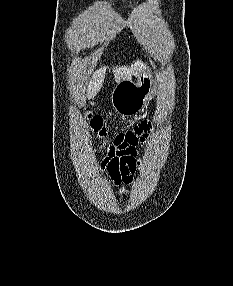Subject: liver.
<instances>
[{
	"label": "liver",
	"instance_id": "1",
	"mask_svg": "<svg viewBox=\"0 0 233 286\" xmlns=\"http://www.w3.org/2000/svg\"><path fill=\"white\" fill-rule=\"evenodd\" d=\"M145 68L146 65L141 60H137L131 66L113 67L112 72L114 73L115 81L119 83L122 80L131 79L133 75L138 76ZM105 72L106 68L101 67L93 73L91 81L87 85L86 98H93L100 91L104 83Z\"/></svg>",
	"mask_w": 233,
	"mask_h": 286
}]
</instances>
